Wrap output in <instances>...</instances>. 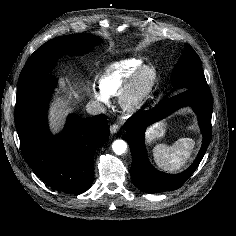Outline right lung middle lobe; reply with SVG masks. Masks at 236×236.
<instances>
[{
    "label": "right lung middle lobe",
    "mask_w": 236,
    "mask_h": 236,
    "mask_svg": "<svg viewBox=\"0 0 236 236\" xmlns=\"http://www.w3.org/2000/svg\"><path fill=\"white\" fill-rule=\"evenodd\" d=\"M101 39L91 34H72L52 39L38 48L28 59L19 76L18 83L43 74H48L62 54L83 55Z\"/></svg>",
    "instance_id": "right-lung-middle-lobe-1"
}]
</instances>
